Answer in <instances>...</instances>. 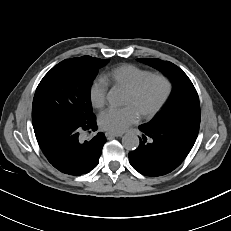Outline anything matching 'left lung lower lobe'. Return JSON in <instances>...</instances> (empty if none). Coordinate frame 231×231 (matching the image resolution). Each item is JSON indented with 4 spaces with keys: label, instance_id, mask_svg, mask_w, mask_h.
<instances>
[{
    "label": "left lung lower lobe",
    "instance_id": "obj_1",
    "mask_svg": "<svg viewBox=\"0 0 231 231\" xmlns=\"http://www.w3.org/2000/svg\"><path fill=\"white\" fill-rule=\"evenodd\" d=\"M139 147L129 153L132 167L146 176H161L176 169L192 149L198 132L142 125Z\"/></svg>",
    "mask_w": 231,
    "mask_h": 231
}]
</instances>
